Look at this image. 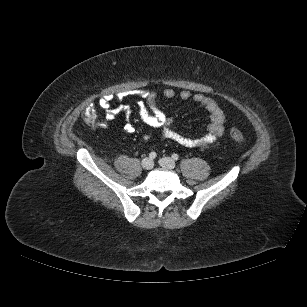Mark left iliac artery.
Wrapping results in <instances>:
<instances>
[{"mask_svg": "<svg viewBox=\"0 0 307 307\" xmlns=\"http://www.w3.org/2000/svg\"><path fill=\"white\" fill-rule=\"evenodd\" d=\"M172 158L177 161L179 159V155L174 153L172 154Z\"/></svg>", "mask_w": 307, "mask_h": 307, "instance_id": "44dca946", "label": "left iliac artery"}]
</instances>
